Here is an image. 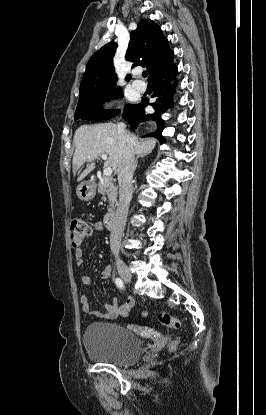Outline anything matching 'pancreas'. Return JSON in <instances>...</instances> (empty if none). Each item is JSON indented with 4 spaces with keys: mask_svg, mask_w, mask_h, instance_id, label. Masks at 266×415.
<instances>
[{
    "mask_svg": "<svg viewBox=\"0 0 266 415\" xmlns=\"http://www.w3.org/2000/svg\"><path fill=\"white\" fill-rule=\"evenodd\" d=\"M98 193L102 195V200L109 202L107 207L109 213L114 212V204L117 200V187L114 185L113 178L103 176L98 184Z\"/></svg>",
    "mask_w": 266,
    "mask_h": 415,
    "instance_id": "obj_1",
    "label": "pancreas"
}]
</instances>
